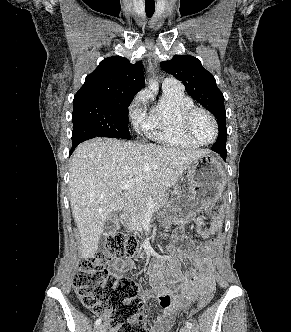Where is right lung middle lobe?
Returning <instances> with one entry per match:
<instances>
[{"label":"right lung middle lobe","instance_id":"obj_1","mask_svg":"<svg viewBox=\"0 0 291 332\" xmlns=\"http://www.w3.org/2000/svg\"><path fill=\"white\" fill-rule=\"evenodd\" d=\"M131 100L132 97L123 95L74 99L73 131L91 128V133L76 134L74 139L78 143L95 136L130 139L128 107Z\"/></svg>","mask_w":291,"mask_h":332}]
</instances>
